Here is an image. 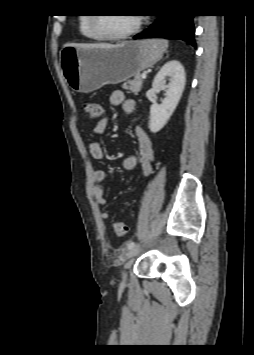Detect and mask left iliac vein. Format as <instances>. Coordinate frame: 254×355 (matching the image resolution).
Returning a JSON list of instances; mask_svg holds the SVG:
<instances>
[{"mask_svg": "<svg viewBox=\"0 0 254 355\" xmlns=\"http://www.w3.org/2000/svg\"><path fill=\"white\" fill-rule=\"evenodd\" d=\"M141 248L140 247H134L132 249L129 250V252L127 253V259H132L133 257L137 256L140 253ZM127 274L125 272H123L122 274V278L123 281L126 280Z\"/></svg>", "mask_w": 254, "mask_h": 355, "instance_id": "obj_1", "label": "left iliac vein"}]
</instances>
